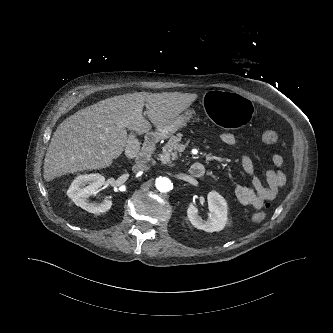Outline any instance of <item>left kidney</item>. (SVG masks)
I'll return each mask as SVG.
<instances>
[{
	"label": "left kidney",
	"instance_id": "left-kidney-1",
	"mask_svg": "<svg viewBox=\"0 0 333 333\" xmlns=\"http://www.w3.org/2000/svg\"><path fill=\"white\" fill-rule=\"evenodd\" d=\"M209 206V220L205 221L198 215V209L191 203L187 209V216L191 224L197 229L206 232L221 231L227 222V202L216 191H211L207 195Z\"/></svg>",
	"mask_w": 333,
	"mask_h": 333
}]
</instances>
